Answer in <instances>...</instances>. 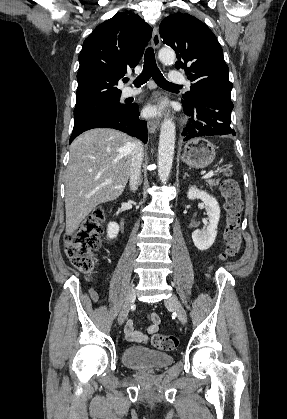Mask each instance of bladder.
Returning a JSON list of instances; mask_svg holds the SVG:
<instances>
[{"label": "bladder", "mask_w": 287, "mask_h": 419, "mask_svg": "<svg viewBox=\"0 0 287 419\" xmlns=\"http://www.w3.org/2000/svg\"><path fill=\"white\" fill-rule=\"evenodd\" d=\"M121 359L126 366L137 370H159L173 362L171 355L140 346L125 348Z\"/></svg>", "instance_id": "31cf9c89"}]
</instances>
